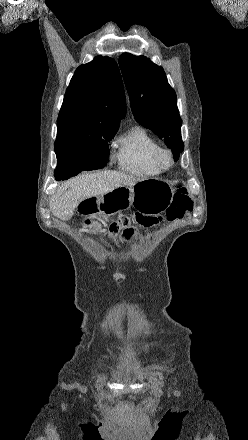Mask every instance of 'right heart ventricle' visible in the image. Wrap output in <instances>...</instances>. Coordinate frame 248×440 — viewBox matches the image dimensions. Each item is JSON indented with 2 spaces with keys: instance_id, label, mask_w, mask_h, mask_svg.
I'll return each mask as SVG.
<instances>
[{
  "instance_id": "1",
  "label": "right heart ventricle",
  "mask_w": 248,
  "mask_h": 440,
  "mask_svg": "<svg viewBox=\"0 0 248 440\" xmlns=\"http://www.w3.org/2000/svg\"><path fill=\"white\" fill-rule=\"evenodd\" d=\"M159 148V144L145 129L133 127L117 139L115 160L118 168L139 177L159 175L162 170L155 162Z\"/></svg>"
}]
</instances>
